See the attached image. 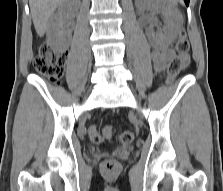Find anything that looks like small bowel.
Wrapping results in <instances>:
<instances>
[{
    "label": "small bowel",
    "instance_id": "obj_1",
    "mask_svg": "<svg viewBox=\"0 0 223 191\" xmlns=\"http://www.w3.org/2000/svg\"><path fill=\"white\" fill-rule=\"evenodd\" d=\"M174 55V51L171 48H156L152 51L151 61L154 69L157 72H161L165 69L168 60ZM182 66L186 67L189 63V57L187 55L181 58Z\"/></svg>",
    "mask_w": 223,
    "mask_h": 191
}]
</instances>
